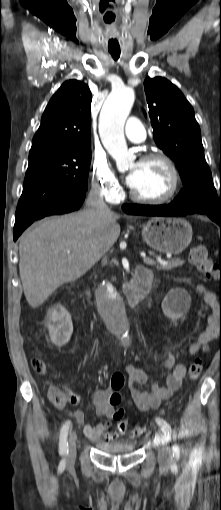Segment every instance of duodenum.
I'll use <instances>...</instances> for the list:
<instances>
[{
    "label": "duodenum",
    "instance_id": "410a0bca",
    "mask_svg": "<svg viewBox=\"0 0 221 510\" xmlns=\"http://www.w3.org/2000/svg\"><path fill=\"white\" fill-rule=\"evenodd\" d=\"M152 276L145 268H138L125 288V297L129 307H135L146 296L151 288ZM88 301L91 299V289L86 292Z\"/></svg>",
    "mask_w": 221,
    "mask_h": 510
}]
</instances>
